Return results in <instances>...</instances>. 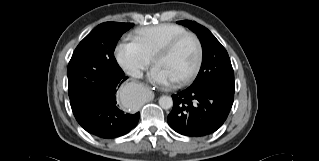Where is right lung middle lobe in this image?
<instances>
[{"instance_id": "obj_1", "label": "right lung middle lobe", "mask_w": 319, "mask_h": 161, "mask_svg": "<svg viewBox=\"0 0 319 161\" xmlns=\"http://www.w3.org/2000/svg\"><path fill=\"white\" fill-rule=\"evenodd\" d=\"M134 24L106 22L94 28L77 46L68 64V93L73 97L84 86L120 69L113 55L123 33Z\"/></svg>"}]
</instances>
